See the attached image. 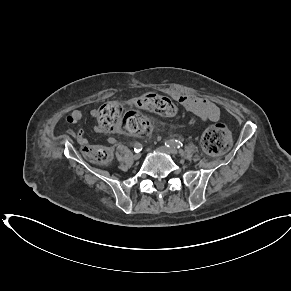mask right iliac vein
<instances>
[{"instance_id": "63e3f726", "label": "right iliac vein", "mask_w": 291, "mask_h": 291, "mask_svg": "<svg viewBox=\"0 0 291 291\" xmlns=\"http://www.w3.org/2000/svg\"><path fill=\"white\" fill-rule=\"evenodd\" d=\"M133 157H134L135 160H138V159H140L141 154L140 153H136V154H134Z\"/></svg>"}]
</instances>
